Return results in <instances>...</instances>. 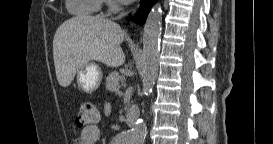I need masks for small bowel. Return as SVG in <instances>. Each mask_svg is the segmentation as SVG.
<instances>
[{
	"label": "small bowel",
	"instance_id": "small-bowel-1",
	"mask_svg": "<svg viewBox=\"0 0 273 144\" xmlns=\"http://www.w3.org/2000/svg\"><path fill=\"white\" fill-rule=\"evenodd\" d=\"M105 111L108 113L109 108ZM100 138V130L97 126L84 128L80 131L79 137L74 141V144H96Z\"/></svg>",
	"mask_w": 273,
	"mask_h": 144
}]
</instances>
